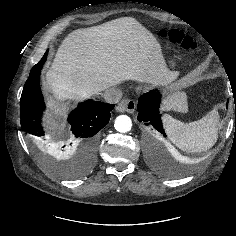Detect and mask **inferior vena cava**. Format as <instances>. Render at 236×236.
Segmentation results:
<instances>
[{"mask_svg": "<svg viewBox=\"0 0 236 236\" xmlns=\"http://www.w3.org/2000/svg\"><path fill=\"white\" fill-rule=\"evenodd\" d=\"M122 91L118 88H109L103 93V97L108 103H118L122 98Z\"/></svg>", "mask_w": 236, "mask_h": 236, "instance_id": "1", "label": "inferior vena cava"}]
</instances>
